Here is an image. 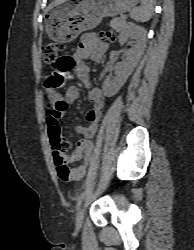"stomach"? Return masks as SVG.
I'll return each instance as SVG.
<instances>
[{
	"label": "stomach",
	"instance_id": "stomach-1",
	"mask_svg": "<svg viewBox=\"0 0 194 250\" xmlns=\"http://www.w3.org/2000/svg\"><path fill=\"white\" fill-rule=\"evenodd\" d=\"M139 0H66L53 5L46 13V32L59 43L72 42L77 36L95 28L105 16L130 11Z\"/></svg>",
	"mask_w": 194,
	"mask_h": 250
}]
</instances>
